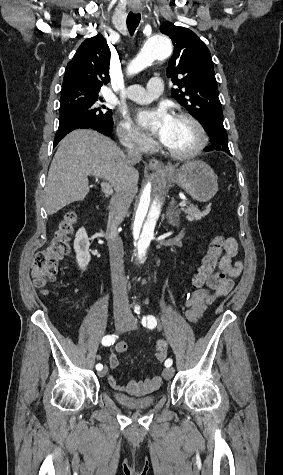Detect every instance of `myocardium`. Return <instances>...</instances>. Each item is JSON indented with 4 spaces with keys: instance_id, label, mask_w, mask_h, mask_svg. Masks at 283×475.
I'll list each match as a JSON object with an SVG mask.
<instances>
[{
    "instance_id": "myocardium-1",
    "label": "myocardium",
    "mask_w": 283,
    "mask_h": 475,
    "mask_svg": "<svg viewBox=\"0 0 283 475\" xmlns=\"http://www.w3.org/2000/svg\"><path fill=\"white\" fill-rule=\"evenodd\" d=\"M176 116L187 120L196 128L198 133L197 142L189 151L184 153H175L168 150L162 141H160V146L170 159L178 162H184L197 157L203 151L208 140V134L205 126L193 114L185 111H179Z\"/></svg>"
}]
</instances>
